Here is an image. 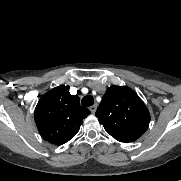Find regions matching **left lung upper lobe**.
I'll list each match as a JSON object with an SVG mask.
<instances>
[{
	"mask_svg": "<svg viewBox=\"0 0 181 181\" xmlns=\"http://www.w3.org/2000/svg\"><path fill=\"white\" fill-rule=\"evenodd\" d=\"M96 116L113 138L124 143L137 140L150 122L147 107L136 92L127 86L109 87Z\"/></svg>",
	"mask_w": 181,
	"mask_h": 181,
	"instance_id": "obj_1",
	"label": "left lung upper lobe"
}]
</instances>
